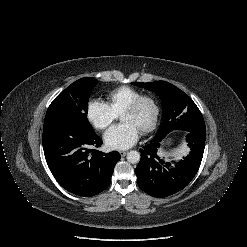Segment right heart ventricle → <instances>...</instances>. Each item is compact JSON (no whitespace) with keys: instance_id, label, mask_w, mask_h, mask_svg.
Instances as JSON below:
<instances>
[{"instance_id":"e07e8e85","label":"right heart ventricle","mask_w":247,"mask_h":247,"mask_svg":"<svg viewBox=\"0 0 247 247\" xmlns=\"http://www.w3.org/2000/svg\"><path fill=\"white\" fill-rule=\"evenodd\" d=\"M140 95H142V91L136 88L121 86L110 91L106 99L109 107L118 115Z\"/></svg>"}]
</instances>
